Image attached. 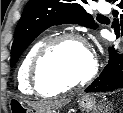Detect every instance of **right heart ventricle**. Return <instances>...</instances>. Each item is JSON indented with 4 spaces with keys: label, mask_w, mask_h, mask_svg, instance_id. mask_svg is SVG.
<instances>
[{
    "label": "right heart ventricle",
    "mask_w": 123,
    "mask_h": 113,
    "mask_svg": "<svg viewBox=\"0 0 123 113\" xmlns=\"http://www.w3.org/2000/svg\"><path fill=\"white\" fill-rule=\"evenodd\" d=\"M46 41V38H43L37 42H35L31 48L28 50V52L25 54L19 68L17 71V83L18 87L21 91H33L34 93L42 96H52L59 92H40L37 89H35L31 82H30V76H29V70L30 65L32 62V59L37 52V50L41 47V45Z\"/></svg>",
    "instance_id": "e07e8e85"
}]
</instances>
